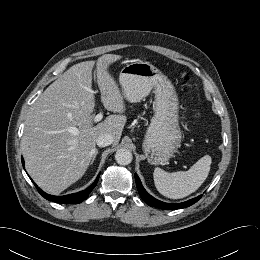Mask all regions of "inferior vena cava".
<instances>
[{
    "instance_id": "602c4592",
    "label": "inferior vena cava",
    "mask_w": 260,
    "mask_h": 260,
    "mask_svg": "<svg viewBox=\"0 0 260 260\" xmlns=\"http://www.w3.org/2000/svg\"><path fill=\"white\" fill-rule=\"evenodd\" d=\"M96 143L99 147L109 146L113 143V136L108 133L101 134L98 136Z\"/></svg>"
}]
</instances>
